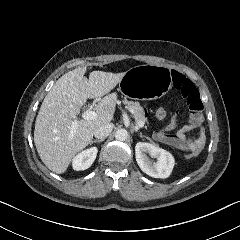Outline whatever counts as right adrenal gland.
Here are the masks:
<instances>
[{
	"label": "right adrenal gland",
	"mask_w": 240,
	"mask_h": 240,
	"mask_svg": "<svg viewBox=\"0 0 240 240\" xmlns=\"http://www.w3.org/2000/svg\"><path fill=\"white\" fill-rule=\"evenodd\" d=\"M104 141V139H96V140H92L90 141V144L96 143V142H102Z\"/></svg>",
	"instance_id": "obj_1"
}]
</instances>
